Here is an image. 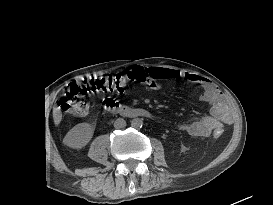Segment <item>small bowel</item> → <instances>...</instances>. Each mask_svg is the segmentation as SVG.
Wrapping results in <instances>:
<instances>
[{
    "label": "small bowel",
    "mask_w": 273,
    "mask_h": 205,
    "mask_svg": "<svg viewBox=\"0 0 273 205\" xmlns=\"http://www.w3.org/2000/svg\"><path fill=\"white\" fill-rule=\"evenodd\" d=\"M149 74L157 76L160 80H171L179 77L197 83L201 87V98L209 104V116L194 117L179 126L180 130L195 137H206L217 129H222L224 124H230L233 115L230 107L219 89L208 79L193 73H180L176 70L160 67H149ZM151 88H159L157 81L147 82ZM111 100V99H108Z\"/></svg>",
    "instance_id": "c3829d8e"
}]
</instances>
